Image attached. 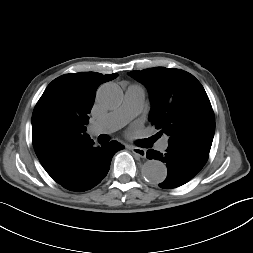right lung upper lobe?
I'll return each instance as SVG.
<instances>
[{"mask_svg": "<svg viewBox=\"0 0 253 253\" xmlns=\"http://www.w3.org/2000/svg\"><path fill=\"white\" fill-rule=\"evenodd\" d=\"M118 74L81 72L53 80L32 115L33 146L47 173L60 185L76 178L78 165L94 147L85 133L98 86Z\"/></svg>", "mask_w": 253, "mask_h": 253, "instance_id": "cb5924a9", "label": "right lung upper lobe"}]
</instances>
